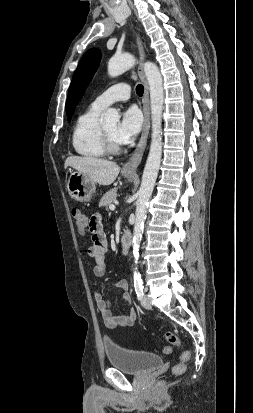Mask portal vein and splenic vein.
<instances>
[{
  "label": "portal vein and splenic vein",
  "mask_w": 253,
  "mask_h": 413,
  "mask_svg": "<svg viewBox=\"0 0 253 413\" xmlns=\"http://www.w3.org/2000/svg\"><path fill=\"white\" fill-rule=\"evenodd\" d=\"M109 209H110V210H115V205H114V204H111V205L109 206Z\"/></svg>",
  "instance_id": "1"
}]
</instances>
